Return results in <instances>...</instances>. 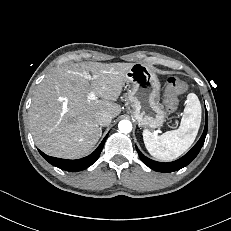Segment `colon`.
I'll return each instance as SVG.
<instances>
[{
  "label": "colon",
  "instance_id": "5ec220e1",
  "mask_svg": "<svg viewBox=\"0 0 231 231\" xmlns=\"http://www.w3.org/2000/svg\"><path fill=\"white\" fill-rule=\"evenodd\" d=\"M188 85L175 77H170L166 82L165 104L169 111L177 108L178 95L186 91Z\"/></svg>",
  "mask_w": 231,
  "mask_h": 231
}]
</instances>
